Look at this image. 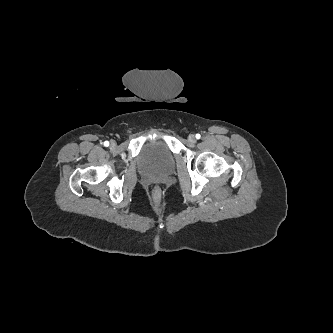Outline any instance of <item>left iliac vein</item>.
<instances>
[{"label":"left iliac vein","instance_id":"4c4485c4","mask_svg":"<svg viewBox=\"0 0 333 333\" xmlns=\"http://www.w3.org/2000/svg\"><path fill=\"white\" fill-rule=\"evenodd\" d=\"M188 140H189V142H191V143H195V142H196V137H195V135L190 134L189 137H188Z\"/></svg>","mask_w":333,"mask_h":333}]
</instances>
